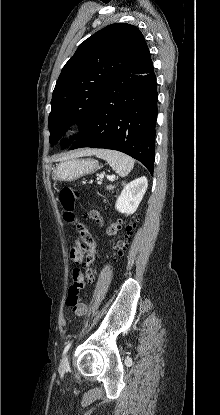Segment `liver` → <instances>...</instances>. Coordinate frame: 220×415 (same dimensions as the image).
Wrapping results in <instances>:
<instances>
[{"instance_id": "obj_1", "label": "liver", "mask_w": 220, "mask_h": 415, "mask_svg": "<svg viewBox=\"0 0 220 415\" xmlns=\"http://www.w3.org/2000/svg\"><path fill=\"white\" fill-rule=\"evenodd\" d=\"M96 150H86L78 153L79 155H92Z\"/></svg>"}]
</instances>
